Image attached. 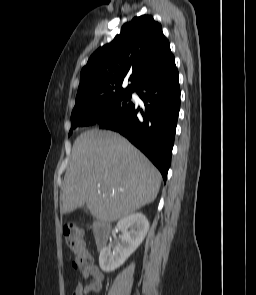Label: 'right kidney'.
<instances>
[{"mask_svg": "<svg viewBox=\"0 0 256 295\" xmlns=\"http://www.w3.org/2000/svg\"><path fill=\"white\" fill-rule=\"evenodd\" d=\"M117 227L123 232L121 243L113 252L103 248L99 255L100 268L107 273L119 268L140 246L149 230V222L142 213H133L119 220Z\"/></svg>", "mask_w": 256, "mask_h": 295, "instance_id": "right-kidney-1", "label": "right kidney"}]
</instances>
